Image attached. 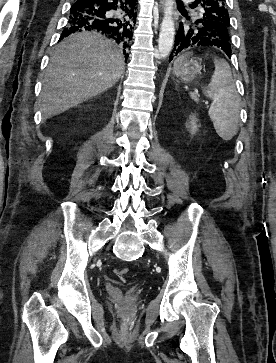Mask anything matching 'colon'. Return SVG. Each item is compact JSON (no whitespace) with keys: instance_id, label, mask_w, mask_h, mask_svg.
<instances>
[{"instance_id":"1","label":"colon","mask_w":276,"mask_h":363,"mask_svg":"<svg viewBox=\"0 0 276 363\" xmlns=\"http://www.w3.org/2000/svg\"><path fill=\"white\" fill-rule=\"evenodd\" d=\"M128 273V269L127 268H120V269H115L114 270V274L121 280H124L125 276Z\"/></svg>"}]
</instances>
